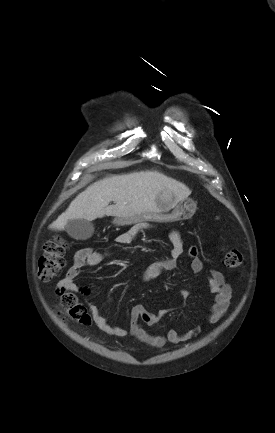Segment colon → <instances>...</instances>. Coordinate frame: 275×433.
<instances>
[{
	"label": "colon",
	"mask_w": 275,
	"mask_h": 433,
	"mask_svg": "<svg viewBox=\"0 0 275 433\" xmlns=\"http://www.w3.org/2000/svg\"><path fill=\"white\" fill-rule=\"evenodd\" d=\"M43 248L44 253L39 258L38 263V275L42 279L58 276L64 267V254L66 251L65 240L61 236L55 235L46 241ZM222 262L226 267L238 268L243 264L244 259L240 251L229 248L224 250ZM58 294L60 298V311L63 315L75 320L81 325H90V315L85 307L78 302L73 293L60 288Z\"/></svg>",
	"instance_id": "colon-1"
}]
</instances>
